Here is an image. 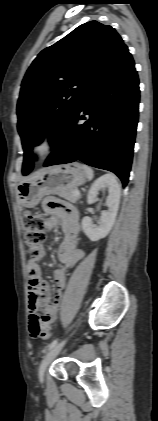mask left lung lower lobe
Returning <instances> with one entry per match:
<instances>
[{"instance_id":"0a47b994","label":"left lung lower lobe","mask_w":158,"mask_h":421,"mask_svg":"<svg viewBox=\"0 0 158 421\" xmlns=\"http://www.w3.org/2000/svg\"><path fill=\"white\" fill-rule=\"evenodd\" d=\"M139 98L134 61L123 45L85 93L44 166L79 159L115 173L125 187L133 157Z\"/></svg>"}]
</instances>
